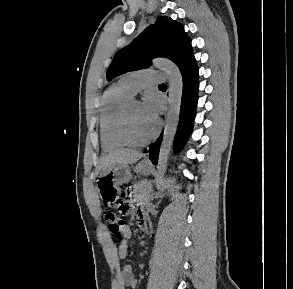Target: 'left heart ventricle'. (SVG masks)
<instances>
[{"label":"left heart ventricle","mask_w":293,"mask_h":289,"mask_svg":"<svg viewBox=\"0 0 293 289\" xmlns=\"http://www.w3.org/2000/svg\"><path fill=\"white\" fill-rule=\"evenodd\" d=\"M156 123L146 116L140 102L133 103L130 110V132L135 140L147 139L153 133Z\"/></svg>","instance_id":"obj_1"}]
</instances>
